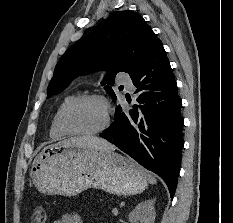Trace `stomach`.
I'll return each mask as SVG.
<instances>
[{
	"mask_svg": "<svg viewBox=\"0 0 233 223\" xmlns=\"http://www.w3.org/2000/svg\"><path fill=\"white\" fill-rule=\"evenodd\" d=\"M34 187L45 195H79L89 187L114 195H135L146 189L147 173L114 151L50 143L34 157L30 167Z\"/></svg>",
	"mask_w": 233,
	"mask_h": 223,
	"instance_id": "stomach-1",
	"label": "stomach"
}]
</instances>
